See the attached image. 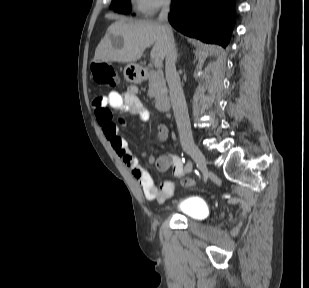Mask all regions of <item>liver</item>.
<instances>
[{
  "instance_id": "1",
  "label": "liver",
  "mask_w": 309,
  "mask_h": 288,
  "mask_svg": "<svg viewBox=\"0 0 309 288\" xmlns=\"http://www.w3.org/2000/svg\"><path fill=\"white\" fill-rule=\"evenodd\" d=\"M117 36L123 39V46L119 48L112 42V38ZM153 44L151 57L163 60L166 56L167 43L159 23L121 18L108 27L105 37L95 50L94 62L133 63Z\"/></svg>"
}]
</instances>
